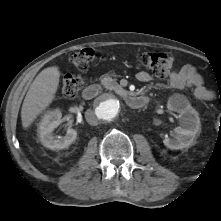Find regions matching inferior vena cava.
<instances>
[{"mask_svg": "<svg viewBox=\"0 0 221 221\" xmlns=\"http://www.w3.org/2000/svg\"><path fill=\"white\" fill-rule=\"evenodd\" d=\"M85 117H86L87 122L90 125L96 126L98 124V120H97V118H96V116H95L93 111L87 110L85 112Z\"/></svg>", "mask_w": 221, "mask_h": 221, "instance_id": "602c4592", "label": "inferior vena cava"}]
</instances>
